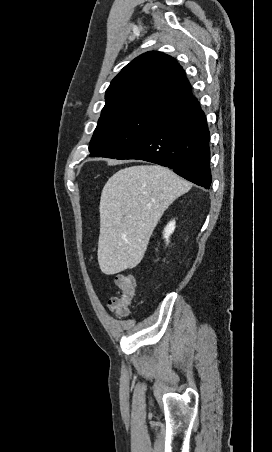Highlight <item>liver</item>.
<instances>
[{"label":"liver","mask_w":272,"mask_h":452,"mask_svg":"<svg viewBox=\"0 0 272 452\" xmlns=\"http://www.w3.org/2000/svg\"><path fill=\"white\" fill-rule=\"evenodd\" d=\"M191 184L159 165H137L109 178L100 198L98 263L106 275L136 267L165 210Z\"/></svg>","instance_id":"1"}]
</instances>
